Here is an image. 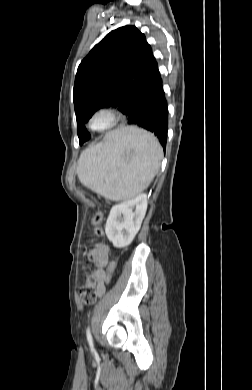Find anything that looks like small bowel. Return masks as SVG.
Returning <instances> with one entry per match:
<instances>
[{"mask_svg": "<svg viewBox=\"0 0 252 390\" xmlns=\"http://www.w3.org/2000/svg\"><path fill=\"white\" fill-rule=\"evenodd\" d=\"M88 258L94 262L97 269L95 271V278L97 284V297H102L105 293L106 284L110 282L111 271H105V267L109 263V250L106 246L100 245L97 249L87 252Z\"/></svg>", "mask_w": 252, "mask_h": 390, "instance_id": "small-bowel-1", "label": "small bowel"}]
</instances>
